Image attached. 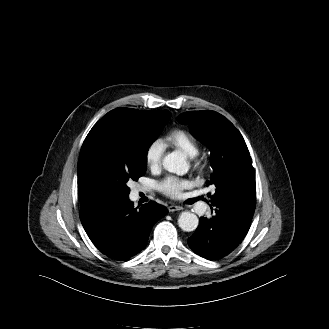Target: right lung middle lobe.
Masks as SVG:
<instances>
[{"label": "right lung middle lobe", "mask_w": 329, "mask_h": 329, "mask_svg": "<svg viewBox=\"0 0 329 329\" xmlns=\"http://www.w3.org/2000/svg\"><path fill=\"white\" fill-rule=\"evenodd\" d=\"M170 118L156 116L146 126L137 125L121 112H108L94 126L99 134L80 152L78 193L84 206L97 199L127 198L131 180L146 172L147 151Z\"/></svg>", "instance_id": "obj_1"}]
</instances>
